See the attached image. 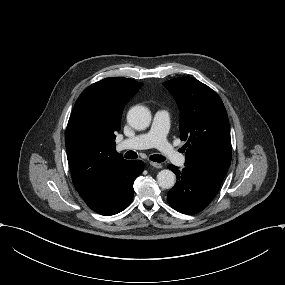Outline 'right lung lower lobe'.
Returning <instances> with one entry per match:
<instances>
[{
  "label": "right lung lower lobe",
  "instance_id": "1",
  "mask_svg": "<svg viewBox=\"0 0 285 285\" xmlns=\"http://www.w3.org/2000/svg\"><path fill=\"white\" fill-rule=\"evenodd\" d=\"M143 162L127 160L108 182L104 190L92 201L86 203L101 215H114L127 208L133 198V183L143 171Z\"/></svg>",
  "mask_w": 285,
  "mask_h": 285
}]
</instances>
